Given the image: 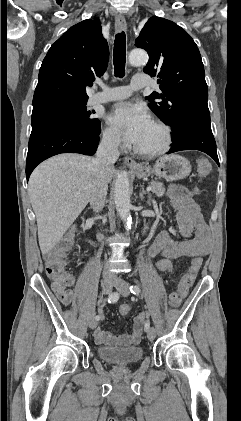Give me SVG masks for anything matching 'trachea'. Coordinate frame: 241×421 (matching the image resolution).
<instances>
[{"mask_svg": "<svg viewBox=\"0 0 241 421\" xmlns=\"http://www.w3.org/2000/svg\"><path fill=\"white\" fill-rule=\"evenodd\" d=\"M113 63L115 76L119 78L124 77L126 63V36L124 32L116 34L113 50Z\"/></svg>", "mask_w": 241, "mask_h": 421, "instance_id": "1", "label": "trachea"}]
</instances>
